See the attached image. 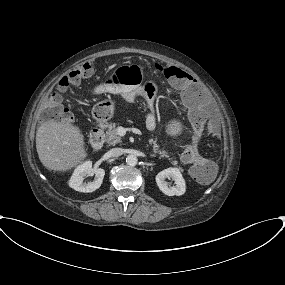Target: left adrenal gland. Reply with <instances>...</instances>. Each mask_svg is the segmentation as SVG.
Instances as JSON below:
<instances>
[{"label":"left adrenal gland","mask_w":285,"mask_h":285,"mask_svg":"<svg viewBox=\"0 0 285 285\" xmlns=\"http://www.w3.org/2000/svg\"><path fill=\"white\" fill-rule=\"evenodd\" d=\"M154 156H155L154 154H151V155H150V157H154Z\"/></svg>","instance_id":"left-adrenal-gland-1"}]
</instances>
